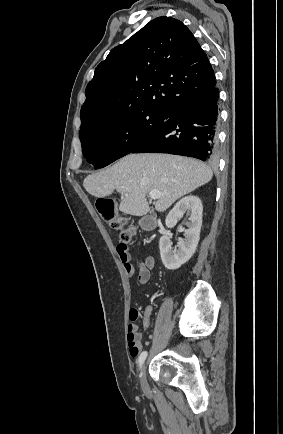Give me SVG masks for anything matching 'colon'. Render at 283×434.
Here are the masks:
<instances>
[{
	"label": "colon",
	"mask_w": 283,
	"mask_h": 434,
	"mask_svg": "<svg viewBox=\"0 0 283 434\" xmlns=\"http://www.w3.org/2000/svg\"><path fill=\"white\" fill-rule=\"evenodd\" d=\"M96 209L104 221L120 231V244L127 248L134 237V231L127 227L125 218L117 215L114 201L107 198H100L96 201ZM130 316L132 320H136L138 318V311L132 310Z\"/></svg>",
	"instance_id": "obj_1"
}]
</instances>
